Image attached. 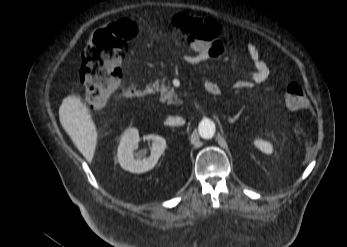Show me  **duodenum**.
<instances>
[{
  "label": "duodenum",
  "mask_w": 347,
  "mask_h": 247,
  "mask_svg": "<svg viewBox=\"0 0 347 247\" xmlns=\"http://www.w3.org/2000/svg\"><path fill=\"white\" fill-rule=\"evenodd\" d=\"M150 93V89L146 87H132L126 92L127 97L131 98H143Z\"/></svg>",
  "instance_id": "duodenum-1"
}]
</instances>
